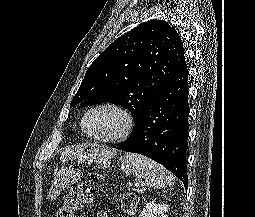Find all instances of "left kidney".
Instances as JSON below:
<instances>
[{"label":"left kidney","instance_id":"5707ae66","mask_svg":"<svg viewBox=\"0 0 255 217\" xmlns=\"http://www.w3.org/2000/svg\"><path fill=\"white\" fill-rule=\"evenodd\" d=\"M168 205L155 204V202L146 203L139 217H167Z\"/></svg>","mask_w":255,"mask_h":217}]
</instances>
